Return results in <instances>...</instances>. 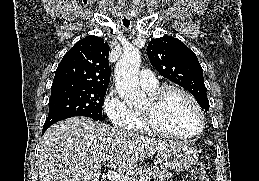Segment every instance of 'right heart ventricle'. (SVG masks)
<instances>
[{"label": "right heart ventricle", "mask_w": 259, "mask_h": 181, "mask_svg": "<svg viewBox=\"0 0 259 181\" xmlns=\"http://www.w3.org/2000/svg\"><path fill=\"white\" fill-rule=\"evenodd\" d=\"M157 89V86L153 89L146 90L149 94L153 93ZM131 130L138 131L141 133H147L148 130L144 124L143 117L141 112L135 111L133 112V122L130 128Z\"/></svg>", "instance_id": "e07e8e85"}]
</instances>
